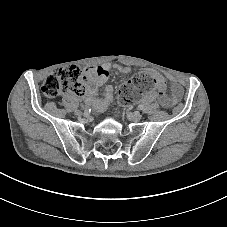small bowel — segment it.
<instances>
[{
    "label": "small bowel",
    "instance_id": "c3829d8e",
    "mask_svg": "<svg viewBox=\"0 0 227 227\" xmlns=\"http://www.w3.org/2000/svg\"><path fill=\"white\" fill-rule=\"evenodd\" d=\"M116 69L121 73L127 74L131 72L129 66L112 65L104 63L99 66H89L84 69V92L81 94L93 109L98 112L104 111L114 98V88L112 85H105L108 80L110 71ZM149 74L155 79L158 94L149 92L145 95V99L152 100L158 96L161 105L165 108H170L175 105L182 96V87L175 81L173 77H169L170 92L167 93V86L164 77L155 71H150ZM105 85L103 88V96L98 95V87Z\"/></svg>",
    "mask_w": 227,
    "mask_h": 227
}]
</instances>
